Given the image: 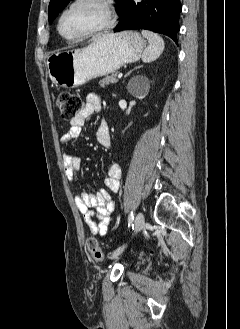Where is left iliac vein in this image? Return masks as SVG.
<instances>
[{"instance_id":"obj_1","label":"left iliac vein","mask_w":240,"mask_h":329,"mask_svg":"<svg viewBox=\"0 0 240 329\" xmlns=\"http://www.w3.org/2000/svg\"><path fill=\"white\" fill-rule=\"evenodd\" d=\"M145 226V218L144 215L140 212L137 214L134 222L135 233L140 232ZM125 249V245L119 247L111 254V259H116Z\"/></svg>"}]
</instances>
